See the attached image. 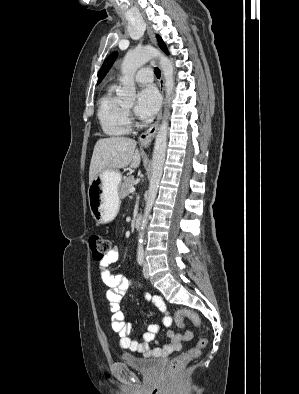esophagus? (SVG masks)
<instances>
[{
	"label": "esophagus",
	"instance_id": "34e87169",
	"mask_svg": "<svg viewBox=\"0 0 299 394\" xmlns=\"http://www.w3.org/2000/svg\"><path fill=\"white\" fill-rule=\"evenodd\" d=\"M147 31H148V34H149V37H150L151 41L154 44H156V38H155L153 30L150 27H148ZM159 89H160V92H161L162 96H164V77H163V73L161 74V78L159 80ZM161 116H162V108H161V110H160V112H159V114L157 116L156 121L145 132H143L139 136V142H140V144L142 146L148 147L151 144V142H152L153 138L155 137V134H156V132L158 130L159 123H160V120H161Z\"/></svg>",
	"mask_w": 299,
	"mask_h": 394
}]
</instances>
